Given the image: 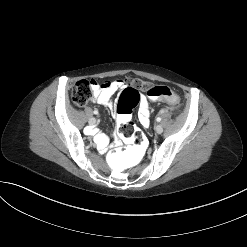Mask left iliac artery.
<instances>
[{"label":"left iliac artery","instance_id":"1","mask_svg":"<svg viewBox=\"0 0 247 247\" xmlns=\"http://www.w3.org/2000/svg\"><path fill=\"white\" fill-rule=\"evenodd\" d=\"M156 121H157V122H160V121H161V118H160V117H158V118L156 119Z\"/></svg>","mask_w":247,"mask_h":247}]
</instances>
